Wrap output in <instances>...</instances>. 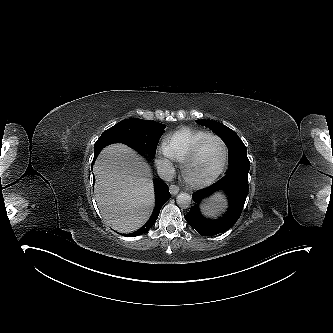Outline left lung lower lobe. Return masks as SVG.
<instances>
[{
  "instance_id": "obj_1",
  "label": "left lung lower lobe",
  "mask_w": 333,
  "mask_h": 333,
  "mask_svg": "<svg viewBox=\"0 0 333 333\" xmlns=\"http://www.w3.org/2000/svg\"><path fill=\"white\" fill-rule=\"evenodd\" d=\"M219 189L227 193L229 209L219 220L206 219L199 211V203L203 198ZM248 190V179L223 177L209 188L193 193L192 197L196 204L185 215V220L202 236H213L227 231L239 219L248 195Z\"/></svg>"
}]
</instances>
